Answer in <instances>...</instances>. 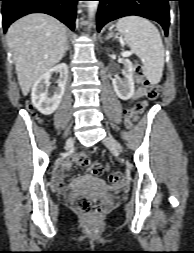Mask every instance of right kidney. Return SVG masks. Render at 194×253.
Returning <instances> with one entry per match:
<instances>
[{
    "label": "right kidney",
    "mask_w": 194,
    "mask_h": 253,
    "mask_svg": "<svg viewBox=\"0 0 194 253\" xmlns=\"http://www.w3.org/2000/svg\"><path fill=\"white\" fill-rule=\"evenodd\" d=\"M53 73H59L58 86L52 93L48 91L50 79ZM68 79V67L61 63L37 79L32 87L31 100L34 107L44 115H50L58 108L65 92V85Z\"/></svg>",
    "instance_id": "ca27d5eb"
}]
</instances>
